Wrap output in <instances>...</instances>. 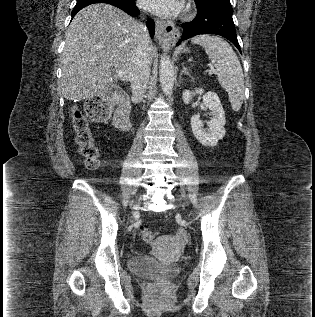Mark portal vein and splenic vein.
I'll use <instances>...</instances> for the list:
<instances>
[{"instance_id":"obj_1","label":"portal vein and splenic vein","mask_w":315,"mask_h":317,"mask_svg":"<svg viewBox=\"0 0 315 317\" xmlns=\"http://www.w3.org/2000/svg\"><path fill=\"white\" fill-rule=\"evenodd\" d=\"M117 75L120 77V78H123L124 77V73L121 71V70H117L116 71ZM209 75H212L214 73H216V70L214 68H210V70L208 71Z\"/></svg>"}]
</instances>
